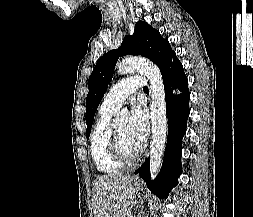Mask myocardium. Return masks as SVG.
Segmentation results:
<instances>
[{"instance_id": "myocardium-1", "label": "myocardium", "mask_w": 253, "mask_h": 217, "mask_svg": "<svg viewBox=\"0 0 253 217\" xmlns=\"http://www.w3.org/2000/svg\"><path fill=\"white\" fill-rule=\"evenodd\" d=\"M109 150L111 155L122 164H131L135 162L142 152V146L138 148L134 153H127L122 147L120 138L115 130V127H111L109 137Z\"/></svg>"}]
</instances>
